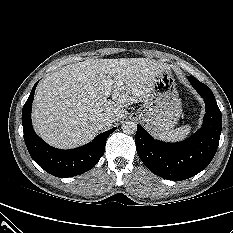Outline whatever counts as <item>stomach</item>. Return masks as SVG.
Here are the masks:
<instances>
[{
  "instance_id": "obj_1",
  "label": "stomach",
  "mask_w": 233,
  "mask_h": 233,
  "mask_svg": "<svg viewBox=\"0 0 233 233\" xmlns=\"http://www.w3.org/2000/svg\"><path fill=\"white\" fill-rule=\"evenodd\" d=\"M181 114L175 80L169 70H164L156 76L151 94L136 116L146 123L152 133L159 134L173 129Z\"/></svg>"
}]
</instances>
